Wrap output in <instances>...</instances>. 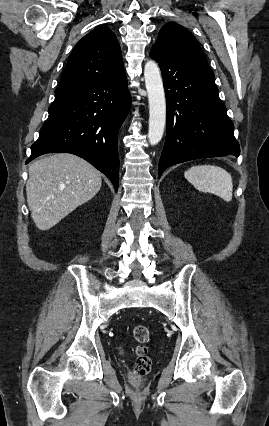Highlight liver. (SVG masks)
I'll return each instance as SVG.
<instances>
[{
  "instance_id": "liver-1",
  "label": "liver",
  "mask_w": 269,
  "mask_h": 426,
  "mask_svg": "<svg viewBox=\"0 0 269 426\" xmlns=\"http://www.w3.org/2000/svg\"><path fill=\"white\" fill-rule=\"evenodd\" d=\"M102 185L101 173L68 153L46 156L29 166L27 203L37 228L49 230L91 200Z\"/></svg>"
}]
</instances>
